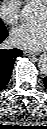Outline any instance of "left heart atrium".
Masks as SVG:
<instances>
[{
  "label": "left heart atrium",
  "mask_w": 47,
  "mask_h": 129,
  "mask_svg": "<svg viewBox=\"0 0 47 129\" xmlns=\"http://www.w3.org/2000/svg\"><path fill=\"white\" fill-rule=\"evenodd\" d=\"M11 41L17 47L40 50L47 41L46 22L25 23L16 27L11 33Z\"/></svg>",
  "instance_id": "1"
}]
</instances>
